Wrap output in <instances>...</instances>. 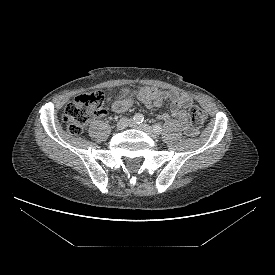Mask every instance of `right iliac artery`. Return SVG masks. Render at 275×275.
I'll use <instances>...</instances> for the list:
<instances>
[{
  "label": "right iliac artery",
  "mask_w": 275,
  "mask_h": 275,
  "mask_svg": "<svg viewBox=\"0 0 275 275\" xmlns=\"http://www.w3.org/2000/svg\"><path fill=\"white\" fill-rule=\"evenodd\" d=\"M133 120H134L136 123L140 124V123L143 122L144 117H143L142 114L137 113V114L134 115Z\"/></svg>",
  "instance_id": "right-iliac-artery-1"
}]
</instances>
